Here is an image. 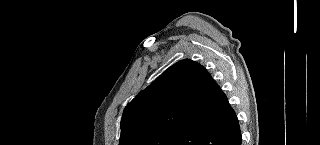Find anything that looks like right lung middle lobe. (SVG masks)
Masks as SVG:
<instances>
[{"label":"right lung middle lobe","instance_id":"1","mask_svg":"<svg viewBox=\"0 0 320 145\" xmlns=\"http://www.w3.org/2000/svg\"><path fill=\"white\" fill-rule=\"evenodd\" d=\"M180 131V129H169L154 132L136 141L134 145H167Z\"/></svg>","mask_w":320,"mask_h":145}]
</instances>
